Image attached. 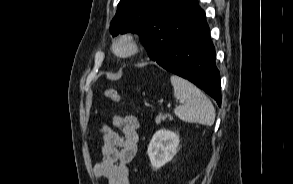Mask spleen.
<instances>
[{
  "label": "spleen",
  "mask_w": 293,
  "mask_h": 184,
  "mask_svg": "<svg viewBox=\"0 0 293 184\" xmlns=\"http://www.w3.org/2000/svg\"><path fill=\"white\" fill-rule=\"evenodd\" d=\"M170 80L174 88V97L183 103L174 109L175 115L185 122L213 125L215 109L208 97L182 77L172 75Z\"/></svg>",
  "instance_id": "1"
}]
</instances>
